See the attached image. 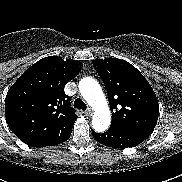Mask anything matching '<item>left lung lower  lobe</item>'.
Masks as SVG:
<instances>
[{
    "label": "left lung lower lobe",
    "mask_w": 182,
    "mask_h": 182,
    "mask_svg": "<svg viewBox=\"0 0 182 182\" xmlns=\"http://www.w3.org/2000/svg\"><path fill=\"white\" fill-rule=\"evenodd\" d=\"M96 141L112 148H129L142 143L149 135L134 130L110 126L104 133L92 132Z\"/></svg>",
    "instance_id": "1"
}]
</instances>
